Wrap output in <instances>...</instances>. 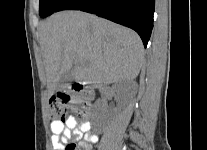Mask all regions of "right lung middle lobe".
<instances>
[{
  "label": "right lung middle lobe",
  "mask_w": 207,
  "mask_h": 150,
  "mask_svg": "<svg viewBox=\"0 0 207 150\" xmlns=\"http://www.w3.org/2000/svg\"><path fill=\"white\" fill-rule=\"evenodd\" d=\"M65 0H39V13L41 17H47L56 12Z\"/></svg>",
  "instance_id": "1"
}]
</instances>
